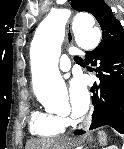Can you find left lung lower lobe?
<instances>
[{
  "mask_svg": "<svg viewBox=\"0 0 124 149\" xmlns=\"http://www.w3.org/2000/svg\"><path fill=\"white\" fill-rule=\"evenodd\" d=\"M97 60L99 81L91 88L94 112L90 130L110 126L124 134V43L88 52L87 64L97 66Z\"/></svg>",
  "mask_w": 124,
  "mask_h": 149,
  "instance_id": "obj_1",
  "label": "left lung lower lobe"
}]
</instances>
